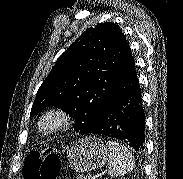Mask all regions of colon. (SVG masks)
<instances>
[{
    "mask_svg": "<svg viewBox=\"0 0 183 179\" xmlns=\"http://www.w3.org/2000/svg\"><path fill=\"white\" fill-rule=\"evenodd\" d=\"M60 170V159L53 149L32 151L23 166V179H56Z\"/></svg>",
    "mask_w": 183,
    "mask_h": 179,
    "instance_id": "colon-1",
    "label": "colon"
}]
</instances>
